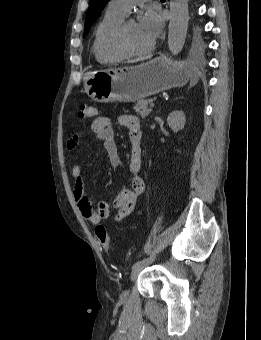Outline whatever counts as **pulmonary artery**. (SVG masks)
Here are the masks:
<instances>
[{"instance_id":"1","label":"pulmonary artery","mask_w":261,"mask_h":340,"mask_svg":"<svg viewBox=\"0 0 261 340\" xmlns=\"http://www.w3.org/2000/svg\"><path fill=\"white\" fill-rule=\"evenodd\" d=\"M145 0H111L109 7L127 16L131 8Z\"/></svg>"}]
</instances>
